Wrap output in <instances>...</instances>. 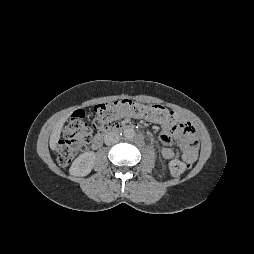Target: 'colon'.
Returning <instances> with one entry per match:
<instances>
[{
  "instance_id": "5ec220e1",
  "label": "colon",
  "mask_w": 254,
  "mask_h": 254,
  "mask_svg": "<svg viewBox=\"0 0 254 254\" xmlns=\"http://www.w3.org/2000/svg\"><path fill=\"white\" fill-rule=\"evenodd\" d=\"M171 114L169 109L160 104H144L123 99L96 105L92 109V122L94 128L102 129L124 116L165 121ZM90 136L91 128L86 121L85 113L82 111L75 113L63 128L62 137L58 143V162L61 165L71 162L84 148ZM168 168L172 175L179 176L188 172L190 165L180 160H173Z\"/></svg>"
}]
</instances>
